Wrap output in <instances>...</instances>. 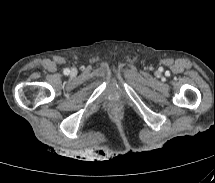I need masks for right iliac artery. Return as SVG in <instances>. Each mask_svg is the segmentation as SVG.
<instances>
[{
  "label": "right iliac artery",
  "mask_w": 215,
  "mask_h": 183,
  "mask_svg": "<svg viewBox=\"0 0 215 183\" xmlns=\"http://www.w3.org/2000/svg\"><path fill=\"white\" fill-rule=\"evenodd\" d=\"M69 72V70H65V73H68Z\"/></svg>",
  "instance_id": "right-iliac-artery-1"
}]
</instances>
